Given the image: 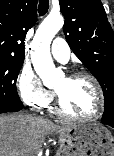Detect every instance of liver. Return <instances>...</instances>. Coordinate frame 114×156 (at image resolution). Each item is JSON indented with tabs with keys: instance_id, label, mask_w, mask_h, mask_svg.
<instances>
[{
	"instance_id": "obj_1",
	"label": "liver",
	"mask_w": 114,
	"mask_h": 156,
	"mask_svg": "<svg viewBox=\"0 0 114 156\" xmlns=\"http://www.w3.org/2000/svg\"><path fill=\"white\" fill-rule=\"evenodd\" d=\"M72 125H56L27 113L0 115V156H36L46 136L65 132Z\"/></svg>"
}]
</instances>
